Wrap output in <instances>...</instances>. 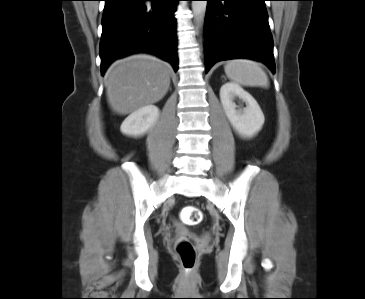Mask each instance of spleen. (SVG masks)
Returning a JSON list of instances; mask_svg holds the SVG:
<instances>
[{
    "label": "spleen",
    "instance_id": "1",
    "mask_svg": "<svg viewBox=\"0 0 365 299\" xmlns=\"http://www.w3.org/2000/svg\"><path fill=\"white\" fill-rule=\"evenodd\" d=\"M224 70L226 76L236 84L242 86H269L268 76L264 70L252 60H230L225 64Z\"/></svg>",
    "mask_w": 365,
    "mask_h": 299
}]
</instances>
